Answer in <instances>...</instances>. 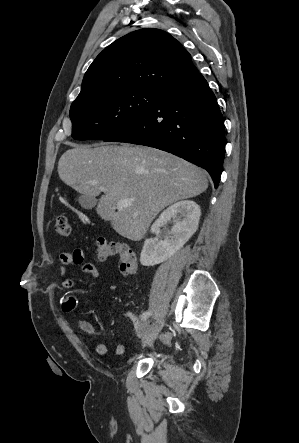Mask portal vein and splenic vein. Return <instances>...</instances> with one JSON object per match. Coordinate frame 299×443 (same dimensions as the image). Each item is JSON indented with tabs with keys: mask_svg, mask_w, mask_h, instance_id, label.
Here are the masks:
<instances>
[{
	"mask_svg": "<svg viewBox=\"0 0 299 443\" xmlns=\"http://www.w3.org/2000/svg\"><path fill=\"white\" fill-rule=\"evenodd\" d=\"M100 191L105 192V188L101 187ZM133 203V199H121L118 203H117V208L118 209H122V208H126L129 207L130 205H132Z\"/></svg>",
	"mask_w": 299,
	"mask_h": 443,
	"instance_id": "1",
	"label": "portal vein and splenic vein"
}]
</instances>
